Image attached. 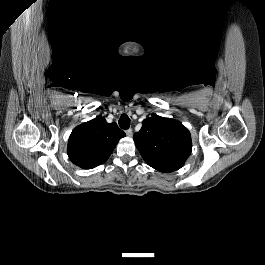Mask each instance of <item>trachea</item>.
<instances>
[{
	"instance_id": "3493384b",
	"label": "trachea",
	"mask_w": 265,
	"mask_h": 265,
	"mask_svg": "<svg viewBox=\"0 0 265 265\" xmlns=\"http://www.w3.org/2000/svg\"><path fill=\"white\" fill-rule=\"evenodd\" d=\"M119 126L126 130L129 129L130 127V118L128 117L127 114H122L120 119H119Z\"/></svg>"
}]
</instances>
